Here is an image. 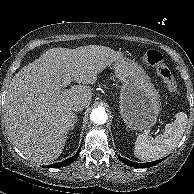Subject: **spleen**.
Returning a JSON list of instances; mask_svg holds the SVG:
<instances>
[{
	"instance_id": "1",
	"label": "spleen",
	"mask_w": 194,
	"mask_h": 194,
	"mask_svg": "<svg viewBox=\"0 0 194 194\" xmlns=\"http://www.w3.org/2000/svg\"><path fill=\"white\" fill-rule=\"evenodd\" d=\"M174 122L165 126L162 135L149 137L138 135L135 142L134 154L142 161H154L168 155L179 144L180 139L186 129L188 116L179 112L176 114Z\"/></svg>"
}]
</instances>
